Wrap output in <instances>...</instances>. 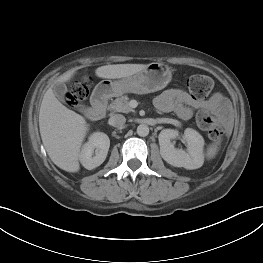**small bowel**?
Here are the masks:
<instances>
[{"label": "small bowel", "instance_id": "c3829d8e", "mask_svg": "<svg viewBox=\"0 0 263 263\" xmlns=\"http://www.w3.org/2000/svg\"><path fill=\"white\" fill-rule=\"evenodd\" d=\"M155 107L161 112H174L181 119H189L193 110L212 112L223 119L229 117L230 106L220 94L214 93L210 98L197 99L179 88H170L158 95L154 101Z\"/></svg>", "mask_w": 263, "mask_h": 263}]
</instances>
